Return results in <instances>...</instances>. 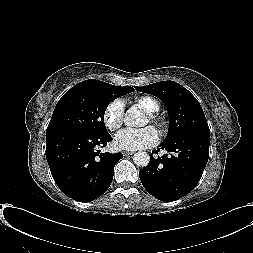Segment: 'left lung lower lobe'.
I'll return each instance as SVG.
<instances>
[{
  "label": "left lung lower lobe",
  "mask_w": 253,
  "mask_h": 253,
  "mask_svg": "<svg viewBox=\"0 0 253 253\" xmlns=\"http://www.w3.org/2000/svg\"><path fill=\"white\" fill-rule=\"evenodd\" d=\"M210 135L184 133L164 141L158 150L169 154L155 159L139 171L145 190L158 200L170 202L193 190L199 182L209 158Z\"/></svg>",
  "instance_id": "left-lung-lower-lobe-1"
}]
</instances>
